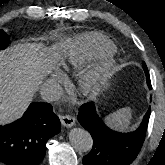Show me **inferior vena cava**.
<instances>
[{"label": "inferior vena cava", "mask_w": 165, "mask_h": 165, "mask_svg": "<svg viewBox=\"0 0 165 165\" xmlns=\"http://www.w3.org/2000/svg\"><path fill=\"white\" fill-rule=\"evenodd\" d=\"M40 95L43 100L52 102L59 99L61 95V87L59 84L49 81L41 85Z\"/></svg>", "instance_id": "obj_1"}]
</instances>
